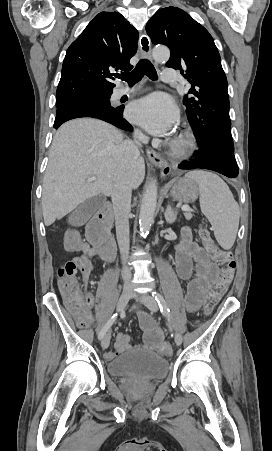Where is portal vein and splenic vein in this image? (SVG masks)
<instances>
[{
  "label": "portal vein and splenic vein",
  "mask_w": 272,
  "mask_h": 451,
  "mask_svg": "<svg viewBox=\"0 0 272 451\" xmlns=\"http://www.w3.org/2000/svg\"><path fill=\"white\" fill-rule=\"evenodd\" d=\"M92 180H96V178H88V182H92ZM182 212H190L191 208L189 206H181Z\"/></svg>",
  "instance_id": "portal-vein-and-splenic-vein-1"
}]
</instances>
